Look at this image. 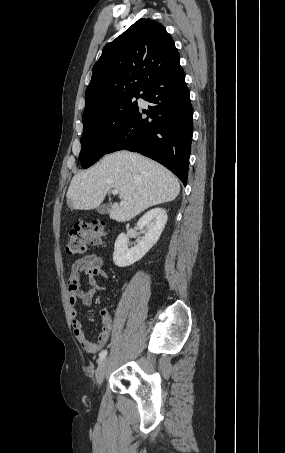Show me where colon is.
Masks as SVG:
<instances>
[{
	"instance_id": "obj_1",
	"label": "colon",
	"mask_w": 285,
	"mask_h": 453,
	"mask_svg": "<svg viewBox=\"0 0 285 453\" xmlns=\"http://www.w3.org/2000/svg\"><path fill=\"white\" fill-rule=\"evenodd\" d=\"M105 234V224L102 221L78 223L68 235L66 252L69 255L81 254L86 251L88 245L99 244Z\"/></svg>"
}]
</instances>
